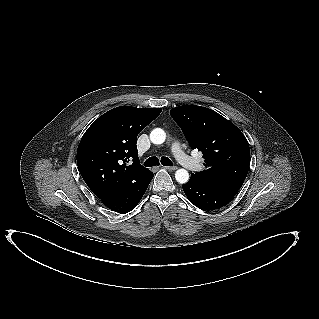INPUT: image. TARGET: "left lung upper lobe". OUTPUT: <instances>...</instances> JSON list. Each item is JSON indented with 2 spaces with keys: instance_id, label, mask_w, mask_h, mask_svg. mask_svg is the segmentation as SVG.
<instances>
[{
  "instance_id": "5c2ea615",
  "label": "left lung upper lobe",
  "mask_w": 319,
  "mask_h": 319,
  "mask_svg": "<svg viewBox=\"0 0 319 319\" xmlns=\"http://www.w3.org/2000/svg\"><path fill=\"white\" fill-rule=\"evenodd\" d=\"M170 114L191 148L203 154L206 169L191 176L236 195L250 165L249 143L239 128L201 106L176 107Z\"/></svg>"
}]
</instances>
